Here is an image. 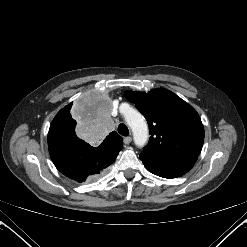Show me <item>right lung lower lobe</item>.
<instances>
[{
	"instance_id": "98d812e1",
	"label": "right lung lower lobe",
	"mask_w": 247,
	"mask_h": 247,
	"mask_svg": "<svg viewBox=\"0 0 247 247\" xmlns=\"http://www.w3.org/2000/svg\"><path fill=\"white\" fill-rule=\"evenodd\" d=\"M49 153L56 168L66 177L83 182L100 174L112 164L118 149L107 145L92 147L76 136L75 131L51 127L48 133Z\"/></svg>"
}]
</instances>
